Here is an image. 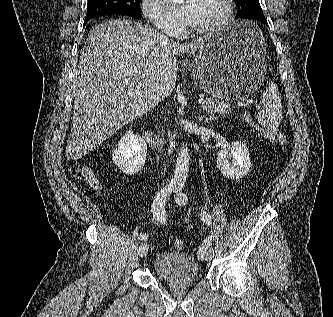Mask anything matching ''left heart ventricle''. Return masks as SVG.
<instances>
[{
	"label": "left heart ventricle",
	"mask_w": 333,
	"mask_h": 317,
	"mask_svg": "<svg viewBox=\"0 0 333 317\" xmlns=\"http://www.w3.org/2000/svg\"><path fill=\"white\" fill-rule=\"evenodd\" d=\"M222 11V0H195L193 14L188 23L194 27L208 26L221 15Z\"/></svg>",
	"instance_id": "b2bd125f"
}]
</instances>
